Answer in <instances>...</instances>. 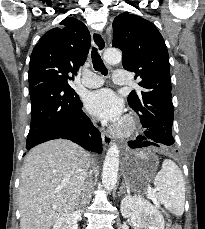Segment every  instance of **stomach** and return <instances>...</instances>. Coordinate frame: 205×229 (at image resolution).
I'll return each mask as SVG.
<instances>
[{"label":"stomach","instance_id":"1","mask_svg":"<svg viewBox=\"0 0 205 229\" xmlns=\"http://www.w3.org/2000/svg\"><path fill=\"white\" fill-rule=\"evenodd\" d=\"M158 164L157 157L149 156L147 159H128L124 167V175L132 183L146 182L150 179Z\"/></svg>","mask_w":205,"mask_h":229}]
</instances>
